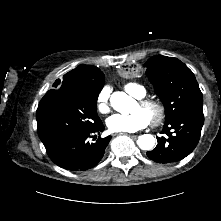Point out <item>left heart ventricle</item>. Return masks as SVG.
Wrapping results in <instances>:
<instances>
[{
    "mask_svg": "<svg viewBox=\"0 0 221 221\" xmlns=\"http://www.w3.org/2000/svg\"><path fill=\"white\" fill-rule=\"evenodd\" d=\"M136 110H142V111L149 117L150 120H151V119L154 117V115H155V110H154V108H152V107H149V108H147V107H141L139 104H137L136 107H135V111H136Z\"/></svg>",
    "mask_w": 221,
    "mask_h": 221,
    "instance_id": "1",
    "label": "left heart ventricle"
}]
</instances>
